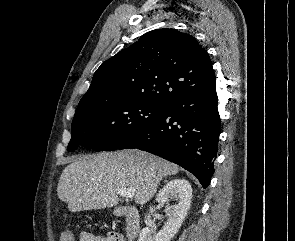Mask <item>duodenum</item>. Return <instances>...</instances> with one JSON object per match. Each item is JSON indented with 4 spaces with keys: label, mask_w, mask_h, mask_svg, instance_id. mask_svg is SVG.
<instances>
[{
    "label": "duodenum",
    "mask_w": 295,
    "mask_h": 241,
    "mask_svg": "<svg viewBox=\"0 0 295 241\" xmlns=\"http://www.w3.org/2000/svg\"><path fill=\"white\" fill-rule=\"evenodd\" d=\"M118 215L125 217V232L128 239L135 238L140 231V215L135 207H122L117 210Z\"/></svg>",
    "instance_id": "1"
}]
</instances>
